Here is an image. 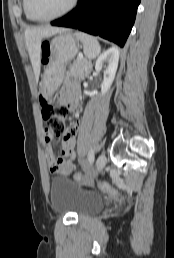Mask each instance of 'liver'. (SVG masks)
Returning <instances> with one entry per match:
<instances>
[{"mask_svg": "<svg viewBox=\"0 0 174 258\" xmlns=\"http://www.w3.org/2000/svg\"><path fill=\"white\" fill-rule=\"evenodd\" d=\"M64 32V29L56 27H33L25 30V42L33 66L36 82L40 75L41 42L45 37Z\"/></svg>", "mask_w": 174, "mask_h": 258, "instance_id": "obj_1", "label": "liver"}]
</instances>
